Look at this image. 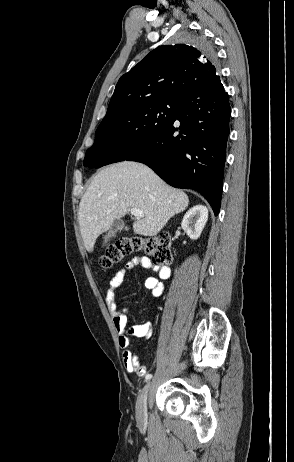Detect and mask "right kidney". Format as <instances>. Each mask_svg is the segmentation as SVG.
Returning a JSON list of instances; mask_svg holds the SVG:
<instances>
[{"label":"right kidney","instance_id":"ca27d5eb","mask_svg":"<svg viewBox=\"0 0 294 462\" xmlns=\"http://www.w3.org/2000/svg\"><path fill=\"white\" fill-rule=\"evenodd\" d=\"M208 220V209L203 205L193 206L183 217L181 227L188 237L196 240L200 237Z\"/></svg>","mask_w":294,"mask_h":462}]
</instances>
